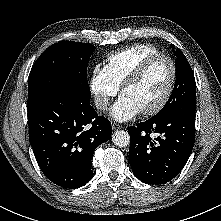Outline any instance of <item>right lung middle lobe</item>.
Returning a JSON list of instances; mask_svg holds the SVG:
<instances>
[{
  "label": "right lung middle lobe",
  "instance_id": "right-lung-middle-lobe-1",
  "mask_svg": "<svg viewBox=\"0 0 221 221\" xmlns=\"http://www.w3.org/2000/svg\"><path fill=\"white\" fill-rule=\"evenodd\" d=\"M94 49L91 44L72 41H60L47 48L30 71L27 108L52 93L89 102L87 66Z\"/></svg>",
  "mask_w": 221,
  "mask_h": 221
}]
</instances>
